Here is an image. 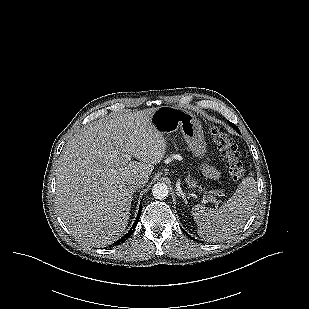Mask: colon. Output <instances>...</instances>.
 Segmentation results:
<instances>
[{
	"instance_id": "1",
	"label": "colon",
	"mask_w": 309,
	"mask_h": 309,
	"mask_svg": "<svg viewBox=\"0 0 309 309\" xmlns=\"http://www.w3.org/2000/svg\"><path fill=\"white\" fill-rule=\"evenodd\" d=\"M210 135L214 144L225 158L231 178L235 181L239 180L244 173V167L237 147L231 138L216 126L210 128Z\"/></svg>"
}]
</instances>
